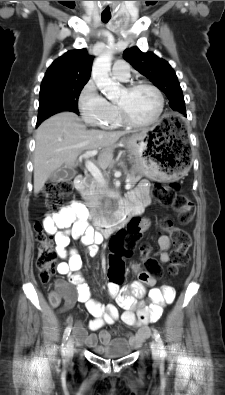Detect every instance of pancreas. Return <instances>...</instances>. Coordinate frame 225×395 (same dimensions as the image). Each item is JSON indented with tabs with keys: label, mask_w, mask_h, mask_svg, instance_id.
<instances>
[{
	"label": "pancreas",
	"mask_w": 225,
	"mask_h": 395,
	"mask_svg": "<svg viewBox=\"0 0 225 395\" xmlns=\"http://www.w3.org/2000/svg\"><path fill=\"white\" fill-rule=\"evenodd\" d=\"M127 179L131 184V187H134L135 184L141 179V175H135L134 173L128 174ZM99 183L92 180L88 185L87 189L81 190V195L83 199L87 202V206L91 209H101L102 200L105 197V191Z\"/></svg>",
	"instance_id": "1"
}]
</instances>
